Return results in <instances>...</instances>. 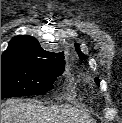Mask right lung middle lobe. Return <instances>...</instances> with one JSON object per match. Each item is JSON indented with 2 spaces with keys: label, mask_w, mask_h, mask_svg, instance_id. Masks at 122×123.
<instances>
[{
  "label": "right lung middle lobe",
  "mask_w": 122,
  "mask_h": 123,
  "mask_svg": "<svg viewBox=\"0 0 122 123\" xmlns=\"http://www.w3.org/2000/svg\"><path fill=\"white\" fill-rule=\"evenodd\" d=\"M1 99L39 95L51 90L63 73L62 65H37L18 60H1Z\"/></svg>",
  "instance_id": "1"
}]
</instances>
